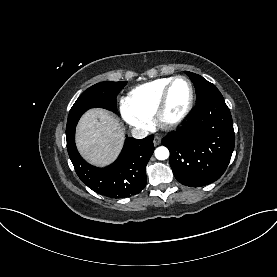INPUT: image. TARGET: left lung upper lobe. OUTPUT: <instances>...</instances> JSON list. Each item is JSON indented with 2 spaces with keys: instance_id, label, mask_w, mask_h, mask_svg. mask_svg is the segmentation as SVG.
I'll use <instances>...</instances> for the list:
<instances>
[{
  "instance_id": "obj_1",
  "label": "left lung upper lobe",
  "mask_w": 277,
  "mask_h": 277,
  "mask_svg": "<svg viewBox=\"0 0 277 277\" xmlns=\"http://www.w3.org/2000/svg\"><path fill=\"white\" fill-rule=\"evenodd\" d=\"M185 73L194 83L196 90V105L201 104L202 102L211 97L221 95L220 91L216 88V86L208 82L202 76L188 71H185Z\"/></svg>"
}]
</instances>
